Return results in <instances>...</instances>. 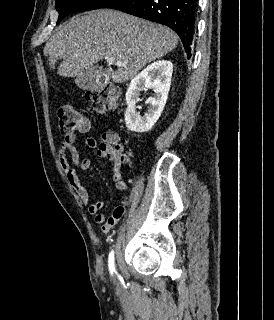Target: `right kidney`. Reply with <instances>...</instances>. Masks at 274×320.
I'll list each match as a JSON object with an SVG mask.
<instances>
[{
  "instance_id": "obj_1",
  "label": "right kidney",
  "mask_w": 274,
  "mask_h": 320,
  "mask_svg": "<svg viewBox=\"0 0 274 320\" xmlns=\"http://www.w3.org/2000/svg\"><path fill=\"white\" fill-rule=\"evenodd\" d=\"M172 72V62L159 60V62H153L147 66L131 80L125 94L127 108L124 118L127 130L141 134V132H149L153 128L167 102ZM147 88H152L154 94L153 98L146 100V104H149L147 112L144 116H140L136 104L140 100V92L147 90Z\"/></svg>"
}]
</instances>
